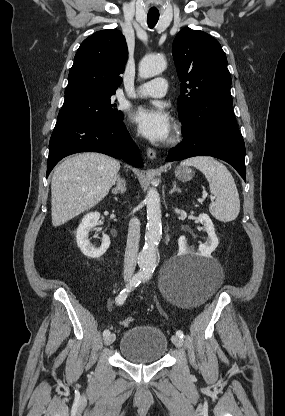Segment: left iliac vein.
<instances>
[{
	"label": "left iliac vein",
	"mask_w": 285,
	"mask_h": 416,
	"mask_svg": "<svg viewBox=\"0 0 285 416\" xmlns=\"http://www.w3.org/2000/svg\"><path fill=\"white\" fill-rule=\"evenodd\" d=\"M171 340H172L173 344H174L176 347H179V348H181V347H182V345H183V341H182V339H181L179 336L174 335V336H172Z\"/></svg>",
	"instance_id": "left-iliac-vein-1"
}]
</instances>
